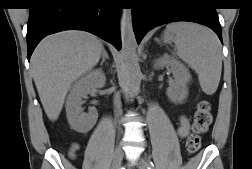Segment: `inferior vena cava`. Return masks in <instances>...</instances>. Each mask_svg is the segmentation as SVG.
Instances as JSON below:
<instances>
[{
    "label": "inferior vena cava",
    "mask_w": 252,
    "mask_h": 169,
    "mask_svg": "<svg viewBox=\"0 0 252 169\" xmlns=\"http://www.w3.org/2000/svg\"><path fill=\"white\" fill-rule=\"evenodd\" d=\"M114 113L119 123V131L120 133H122V130L120 128V124H121L120 117L122 116L121 98L118 93H115L114 95Z\"/></svg>",
    "instance_id": "inferior-vena-cava-1"
}]
</instances>
